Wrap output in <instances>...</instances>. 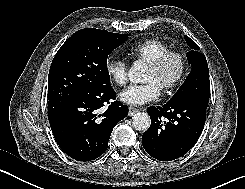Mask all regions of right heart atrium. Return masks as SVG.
<instances>
[{
  "label": "right heart atrium",
  "instance_id": "obj_1",
  "mask_svg": "<svg viewBox=\"0 0 245 189\" xmlns=\"http://www.w3.org/2000/svg\"><path fill=\"white\" fill-rule=\"evenodd\" d=\"M105 70L115 84L119 86L126 84L128 66L124 59L109 57L105 62Z\"/></svg>",
  "mask_w": 245,
  "mask_h": 189
}]
</instances>
